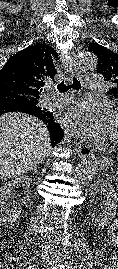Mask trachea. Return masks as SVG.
Listing matches in <instances>:
<instances>
[{
	"label": "trachea",
	"mask_w": 118,
	"mask_h": 269,
	"mask_svg": "<svg viewBox=\"0 0 118 269\" xmlns=\"http://www.w3.org/2000/svg\"><path fill=\"white\" fill-rule=\"evenodd\" d=\"M71 88L76 90H80L82 88L81 83L75 77H73V82L71 84H66L64 81H62L57 85V89L60 93L67 92Z\"/></svg>",
	"instance_id": "trachea-1"
}]
</instances>
